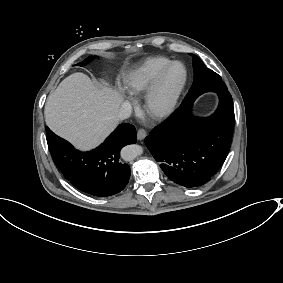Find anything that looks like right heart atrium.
Segmentation results:
<instances>
[{
  "label": "right heart atrium",
  "mask_w": 283,
  "mask_h": 283,
  "mask_svg": "<svg viewBox=\"0 0 283 283\" xmlns=\"http://www.w3.org/2000/svg\"><path fill=\"white\" fill-rule=\"evenodd\" d=\"M111 93L117 101H119L121 103H127L128 102L127 94L122 87L115 86Z\"/></svg>",
  "instance_id": "right-heart-atrium-1"
}]
</instances>
